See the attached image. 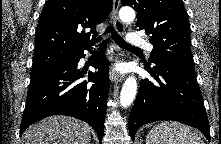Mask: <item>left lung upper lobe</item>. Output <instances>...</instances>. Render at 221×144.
<instances>
[{
    "mask_svg": "<svg viewBox=\"0 0 221 144\" xmlns=\"http://www.w3.org/2000/svg\"><path fill=\"white\" fill-rule=\"evenodd\" d=\"M137 12L139 30L154 48L148 62H172L194 69L190 25L182 0H121Z\"/></svg>",
    "mask_w": 221,
    "mask_h": 144,
    "instance_id": "5c2ea615",
    "label": "left lung upper lobe"
}]
</instances>
